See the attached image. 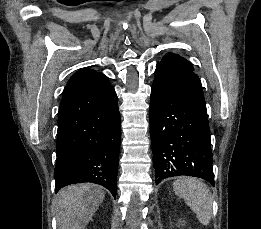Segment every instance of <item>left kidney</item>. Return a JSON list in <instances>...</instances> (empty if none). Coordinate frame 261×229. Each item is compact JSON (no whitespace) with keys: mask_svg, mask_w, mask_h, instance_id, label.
<instances>
[{"mask_svg":"<svg viewBox=\"0 0 261 229\" xmlns=\"http://www.w3.org/2000/svg\"><path fill=\"white\" fill-rule=\"evenodd\" d=\"M179 223H185V221H179Z\"/></svg>","mask_w":261,"mask_h":229,"instance_id":"5707ae66","label":"left kidney"}]
</instances>
